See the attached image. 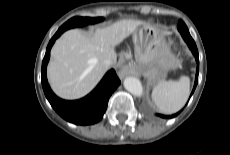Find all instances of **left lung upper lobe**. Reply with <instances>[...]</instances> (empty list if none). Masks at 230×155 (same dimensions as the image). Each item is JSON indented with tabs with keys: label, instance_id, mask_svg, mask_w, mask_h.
Returning <instances> with one entry per match:
<instances>
[{
	"label": "left lung upper lobe",
	"instance_id": "5c2ea615",
	"mask_svg": "<svg viewBox=\"0 0 230 155\" xmlns=\"http://www.w3.org/2000/svg\"><path fill=\"white\" fill-rule=\"evenodd\" d=\"M178 31L181 33L182 37L185 35L191 36L187 26L185 25V23L182 20L179 21Z\"/></svg>",
	"mask_w": 230,
	"mask_h": 155
}]
</instances>
